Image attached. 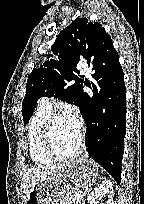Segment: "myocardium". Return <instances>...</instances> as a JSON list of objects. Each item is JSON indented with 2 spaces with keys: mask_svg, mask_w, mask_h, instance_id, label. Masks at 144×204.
<instances>
[{
  "mask_svg": "<svg viewBox=\"0 0 144 204\" xmlns=\"http://www.w3.org/2000/svg\"><path fill=\"white\" fill-rule=\"evenodd\" d=\"M62 117H67V114L62 112L50 114V116L46 120L44 129H43V134H42L43 149L46 152V154L49 155L54 160H68V159L75 158L82 152L84 148L85 132H84L83 125L80 122L79 140L75 150L68 154H61L55 149L52 141L53 126L56 120Z\"/></svg>",
  "mask_w": 144,
  "mask_h": 204,
  "instance_id": "f54148a6",
  "label": "myocardium"
}]
</instances>
